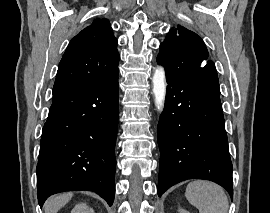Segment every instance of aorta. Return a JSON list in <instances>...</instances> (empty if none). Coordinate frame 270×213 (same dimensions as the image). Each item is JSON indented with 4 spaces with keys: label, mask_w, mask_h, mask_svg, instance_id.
Masks as SVG:
<instances>
[{
    "label": "aorta",
    "mask_w": 270,
    "mask_h": 213,
    "mask_svg": "<svg viewBox=\"0 0 270 213\" xmlns=\"http://www.w3.org/2000/svg\"><path fill=\"white\" fill-rule=\"evenodd\" d=\"M153 83V95L155 100V105L158 109L162 108L166 96V84H165V71L162 67L158 66L155 69L152 78Z\"/></svg>",
    "instance_id": "aorta-1"
}]
</instances>
